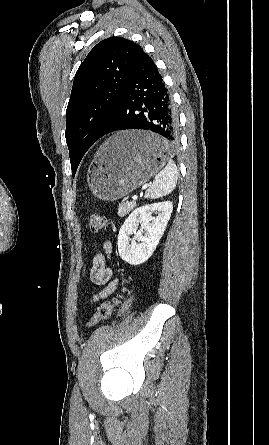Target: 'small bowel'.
Listing matches in <instances>:
<instances>
[{
    "instance_id": "small-bowel-1",
    "label": "small bowel",
    "mask_w": 269,
    "mask_h": 445,
    "mask_svg": "<svg viewBox=\"0 0 269 445\" xmlns=\"http://www.w3.org/2000/svg\"><path fill=\"white\" fill-rule=\"evenodd\" d=\"M104 250L105 253H97L92 261L90 279L94 284L102 286V288L92 297V303L107 298L115 292L118 286V280L113 278V272L107 265L109 254L111 252V244L109 242L104 244Z\"/></svg>"
}]
</instances>
